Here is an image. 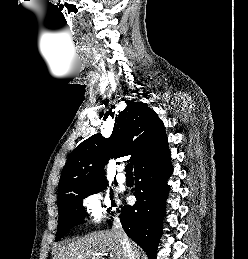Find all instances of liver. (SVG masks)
I'll return each mask as SVG.
<instances>
[{
	"mask_svg": "<svg viewBox=\"0 0 248 259\" xmlns=\"http://www.w3.org/2000/svg\"><path fill=\"white\" fill-rule=\"evenodd\" d=\"M135 259H140L141 252L136 244H131ZM124 259V251L119 237L114 231L92 232L59 248L53 259Z\"/></svg>",
	"mask_w": 248,
	"mask_h": 259,
	"instance_id": "1",
	"label": "liver"
}]
</instances>
